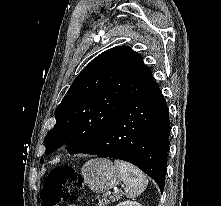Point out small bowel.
Returning a JSON list of instances; mask_svg holds the SVG:
<instances>
[{"label": "small bowel", "instance_id": "small-bowel-1", "mask_svg": "<svg viewBox=\"0 0 221 206\" xmlns=\"http://www.w3.org/2000/svg\"><path fill=\"white\" fill-rule=\"evenodd\" d=\"M66 206H77V205H75V204H67Z\"/></svg>", "mask_w": 221, "mask_h": 206}]
</instances>
